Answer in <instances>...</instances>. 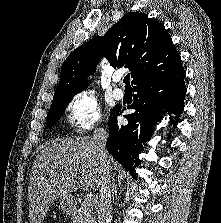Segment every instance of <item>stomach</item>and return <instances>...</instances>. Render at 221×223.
Returning a JSON list of instances; mask_svg holds the SVG:
<instances>
[{
    "label": "stomach",
    "instance_id": "1",
    "mask_svg": "<svg viewBox=\"0 0 221 223\" xmlns=\"http://www.w3.org/2000/svg\"><path fill=\"white\" fill-rule=\"evenodd\" d=\"M60 206L64 213H73V200L71 195H65L60 198Z\"/></svg>",
    "mask_w": 221,
    "mask_h": 223
}]
</instances>
